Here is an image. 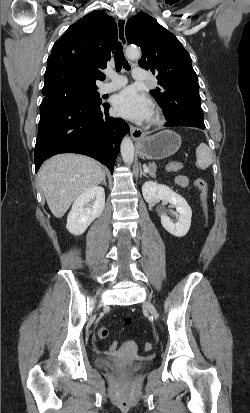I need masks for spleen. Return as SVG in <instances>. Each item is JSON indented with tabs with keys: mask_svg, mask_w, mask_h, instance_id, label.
<instances>
[{
	"mask_svg": "<svg viewBox=\"0 0 250 413\" xmlns=\"http://www.w3.org/2000/svg\"><path fill=\"white\" fill-rule=\"evenodd\" d=\"M196 165L200 169H206L212 164L210 148L205 143H200L196 148Z\"/></svg>",
	"mask_w": 250,
	"mask_h": 413,
	"instance_id": "1",
	"label": "spleen"
}]
</instances>
